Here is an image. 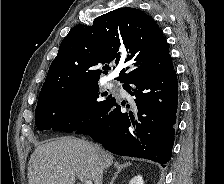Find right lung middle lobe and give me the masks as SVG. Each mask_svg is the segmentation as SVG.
Here are the masks:
<instances>
[{
    "label": "right lung middle lobe",
    "mask_w": 224,
    "mask_h": 184,
    "mask_svg": "<svg viewBox=\"0 0 224 184\" xmlns=\"http://www.w3.org/2000/svg\"><path fill=\"white\" fill-rule=\"evenodd\" d=\"M100 93L98 82L73 85L37 103L36 127L73 132L96 120L115 99Z\"/></svg>",
    "instance_id": "dd1d6c3e"
}]
</instances>
